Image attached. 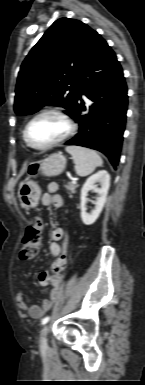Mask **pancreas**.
Listing matches in <instances>:
<instances>
[{
  "mask_svg": "<svg viewBox=\"0 0 145 385\" xmlns=\"http://www.w3.org/2000/svg\"><path fill=\"white\" fill-rule=\"evenodd\" d=\"M64 187L68 191L70 197H72V194L76 193V188L78 187V185L73 184L72 182H68L64 185Z\"/></svg>",
  "mask_w": 145,
  "mask_h": 385,
  "instance_id": "pancreas-1",
  "label": "pancreas"
}]
</instances>
